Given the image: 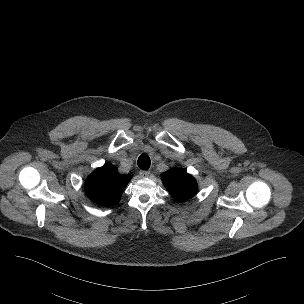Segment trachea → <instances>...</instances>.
Segmentation results:
<instances>
[{
    "label": "trachea",
    "mask_w": 304,
    "mask_h": 304,
    "mask_svg": "<svg viewBox=\"0 0 304 304\" xmlns=\"http://www.w3.org/2000/svg\"><path fill=\"white\" fill-rule=\"evenodd\" d=\"M137 164L142 170H148L151 164L149 156L147 154L140 155Z\"/></svg>",
    "instance_id": "1"
}]
</instances>
